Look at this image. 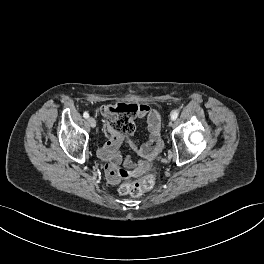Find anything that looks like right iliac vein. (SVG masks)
I'll return each instance as SVG.
<instances>
[{
    "instance_id": "obj_1",
    "label": "right iliac vein",
    "mask_w": 264,
    "mask_h": 264,
    "mask_svg": "<svg viewBox=\"0 0 264 264\" xmlns=\"http://www.w3.org/2000/svg\"><path fill=\"white\" fill-rule=\"evenodd\" d=\"M87 121L92 128H95L96 120L93 117H89Z\"/></svg>"
}]
</instances>
